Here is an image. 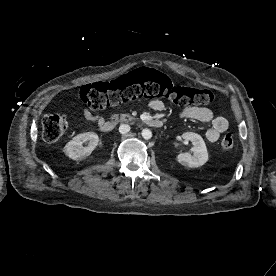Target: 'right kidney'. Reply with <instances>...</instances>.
Listing matches in <instances>:
<instances>
[{"label":"right kidney","instance_id":"ca27d5eb","mask_svg":"<svg viewBox=\"0 0 276 276\" xmlns=\"http://www.w3.org/2000/svg\"><path fill=\"white\" fill-rule=\"evenodd\" d=\"M99 137L94 132H85L73 137L64 147V153L73 160H82L88 157L96 148ZM83 143H87L83 147Z\"/></svg>","mask_w":276,"mask_h":276}]
</instances>
